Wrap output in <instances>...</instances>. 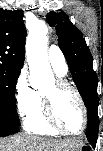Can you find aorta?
<instances>
[{"instance_id":"obj_1","label":"aorta","mask_w":103,"mask_h":151,"mask_svg":"<svg viewBox=\"0 0 103 151\" xmlns=\"http://www.w3.org/2000/svg\"><path fill=\"white\" fill-rule=\"evenodd\" d=\"M48 28L45 22L35 21L29 29L26 40V57L30 75L42 79L44 75H51V67L47 54Z\"/></svg>"}]
</instances>
